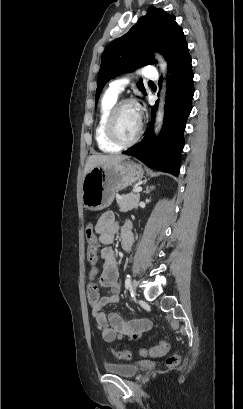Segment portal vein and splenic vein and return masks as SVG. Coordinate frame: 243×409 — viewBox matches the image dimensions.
Wrapping results in <instances>:
<instances>
[{
    "instance_id": "18ae733b",
    "label": "portal vein and splenic vein",
    "mask_w": 243,
    "mask_h": 409,
    "mask_svg": "<svg viewBox=\"0 0 243 409\" xmlns=\"http://www.w3.org/2000/svg\"><path fill=\"white\" fill-rule=\"evenodd\" d=\"M142 191V188L141 187H137L135 190H134V192H136V193H139V192H141Z\"/></svg>"
}]
</instances>
